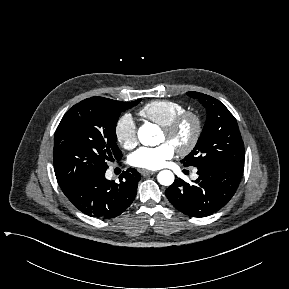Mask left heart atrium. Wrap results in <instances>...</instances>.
Returning a JSON list of instances; mask_svg holds the SVG:
<instances>
[{
    "label": "left heart atrium",
    "instance_id": "39dd6f15",
    "mask_svg": "<svg viewBox=\"0 0 289 289\" xmlns=\"http://www.w3.org/2000/svg\"><path fill=\"white\" fill-rule=\"evenodd\" d=\"M175 148L169 143L157 147H140L129 156V164L140 169L161 168L174 156Z\"/></svg>",
    "mask_w": 289,
    "mask_h": 289
}]
</instances>
